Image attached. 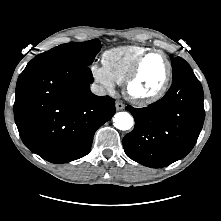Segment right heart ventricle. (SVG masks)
Segmentation results:
<instances>
[{
	"label": "right heart ventricle",
	"instance_id": "obj_1",
	"mask_svg": "<svg viewBox=\"0 0 221 221\" xmlns=\"http://www.w3.org/2000/svg\"><path fill=\"white\" fill-rule=\"evenodd\" d=\"M150 48L141 45L118 46L102 54V64L114 83L122 85L140 55Z\"/></svg>",
	"mask_w": 221,
	"mask_h": 221
}]
</instances>
